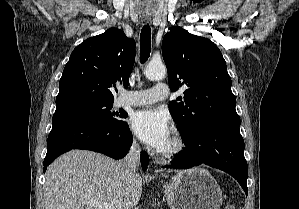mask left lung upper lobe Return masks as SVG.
Returning a JSON list of instances; mask_svg holds the SVG:
<instances>
[{"label":"left lung upper lobe","instance_id":"5c2ea615","mask_svg":"<svg viewBox=\"0 0 299 209\" xmlns=\"http://www.w3.org/2000/svg\"><path fill=\"white\" fill-rule=\"evenodd\" d=\"M162 55L170 89H184L183 97L169 103L182 138L213 117L236 112L225 60L212 41L175 27L163 38Z\"/></svg>","mask_w":299,"mask_h":209}]
</instances>
